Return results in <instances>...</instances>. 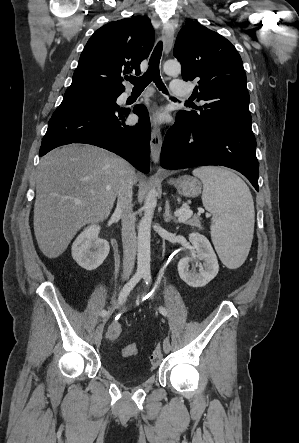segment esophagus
I'll list each match as a JSON object with an SVG mask.
<instances>
[{"instance_id":"34e87169","label":"esophagus","mask_w":299,"mask_h":443,"mask_svg":"<svg viewBox=\"0 0 299 443\" xmlns=\"http://www.w3.org/2000/svg\"><path fill=\"white\" fill-rule=\"evenodd\" d=\"M162 40L165 53H168L174 41V27L172 24H167L162 29ZM151 158L155 164H158L160 152L162 147V134L158 126H153L150 139Z\"/></svg>"}]
</instances>
